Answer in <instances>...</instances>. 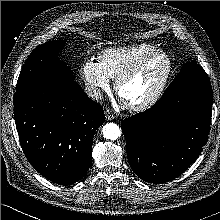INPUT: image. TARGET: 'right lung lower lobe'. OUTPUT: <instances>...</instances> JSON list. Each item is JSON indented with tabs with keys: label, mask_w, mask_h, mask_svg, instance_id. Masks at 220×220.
I'll return each instance as SVG.
<instances>
[{
	"label": "right lung lower lobe",
	"mask_w": 220,
	"mask_h": 220,
	"mask_svg": "<svg viewBox=\"0 0 220 220\" xmlns=\"http://www.w3.org/2000/svg\"><path fill=\"white\" fill-rule=\"evenodd\" d=\"M14 116L24 154L41 175L60 185L85 175L94 133L105 116L76 81L16 91Z\"/></svg>",
	"instance_id": "1"
}]
</instances>
